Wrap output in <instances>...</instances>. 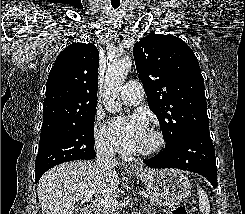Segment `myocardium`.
<instances>
[{
  "instance_id": "f54148a6",
  "label": "myocardium",
  "mask_w": 245,
  "mask_h": 214,
  "mask_svg": "<svg viewBox=\"0 0 245 214\" xmlns=\"http://www.w3.org/2000/svg\"><path fill=\"white\" fill-rule=\"evenodd\" d=\"M150 133L154 138V144L146 150L137 152L136 155L138 157L147 158V157L155 156L165 147L166 139L161 131L157 129H152L150 130Z\"/></svg>"
}]
</instances>
